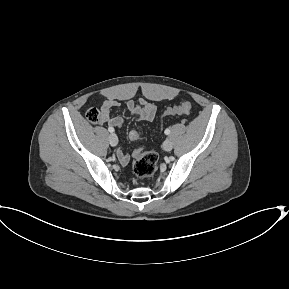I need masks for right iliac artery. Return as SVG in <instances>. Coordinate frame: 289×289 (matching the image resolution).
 Returning a JSON list of instances; mask_svg holds the SVG:
<instances>
[{
	"mask_svg": "<svg viewBox=\"0 0 289 289\" xmlns=\"http://www.w3.org/2000/svg\"><path fill=\"white\" fill-rule=\"evenodd\" d=\"M108 131H109L110 133H113V132H114V128L109 127V128H108Z\"/></svg>",
	"mask_w": 289,
	"mask_h": 289,
	"instance_id": "1",
	"label": "right iliac artery"
}]
</instances>
